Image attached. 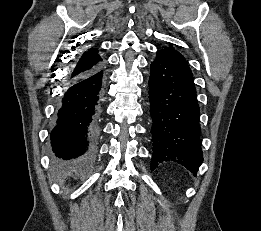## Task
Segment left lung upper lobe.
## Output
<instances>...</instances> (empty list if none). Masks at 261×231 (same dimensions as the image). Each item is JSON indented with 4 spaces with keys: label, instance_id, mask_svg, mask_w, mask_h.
Segmentation results:
<instances>
[{
    "label": "left lung upper lobe",
    "instance_id": "5c2ea615",
    "mask_svg": "<svg viewBox=\"0 0 261 231\" xmlns=\"http://www.w3.org/2000/svg\"><path fill=\"white\" fill-rule=\"evenodd\" d=\"M157 54L165 57L172 65L181 70L187 76L193 78L192 72L186 62L184 56L173 48H165L157 51Z\"/></svg>",
    "mask_w": 261,
    "mask_h": 231
}]
</instances>
